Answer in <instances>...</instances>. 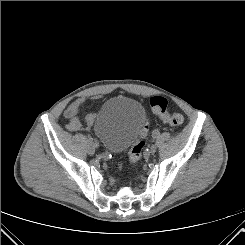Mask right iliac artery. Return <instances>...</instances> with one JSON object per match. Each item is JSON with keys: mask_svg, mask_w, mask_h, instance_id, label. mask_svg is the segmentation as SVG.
Here are the masks:
<instances>
[{"mask_svg": "<svg viewBox=\"0 0 245 245\" xmlns=\"http://www.w3.org/2000/svg\"><path fill=\"white\" fill-rule=\"evenodd\" d=\"M88 138L89 140L94 143V148L97 149V150H100L101 148V143L98 142L97 140H94L93 137H91L89 134H88Z\"/></svg>", "mask_w": 245, "mask_h": 245, "instance_id": "82829eb1", "label": "right iliac artery"}]
</instances>
